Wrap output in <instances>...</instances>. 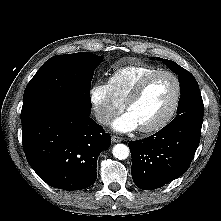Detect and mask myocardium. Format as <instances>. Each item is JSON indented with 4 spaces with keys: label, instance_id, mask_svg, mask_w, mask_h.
<instances>
[{
    "label": "myocardium",
    "instance_id": "1",
    "mask_svg": "<svg viewBox=\"0 0 221 221\" xmlns=\"http://www.w3.org/2000/svg\"><path fill=\"white\" fill-rule=\"evenodd\" d=\"M160 75H167L173 79V81L175 83L174 99H173V102H172L169 110L160 120H158L157 122H155L154 124H151L149 126L139 127V130L143 133H151V132L158 131V130L162 129L163 127H165L172 120V118L174 117V115L178 109V106H179V103L181 100L182 86H181L180 79L177 77V75H175L173 72L168 71V70L154 71V72H152V73H150L140 79V81L136 84V86L131 91V93L129 94V96L127 97V99L125 100V102L123 104L124 109L128 110L130 105L133 104L141 96V94L143 93L147 84L153 78L160 76Z\"/></svg>",
    "mask_w": 221,
    "mask_h": 221
}]
</instances>
